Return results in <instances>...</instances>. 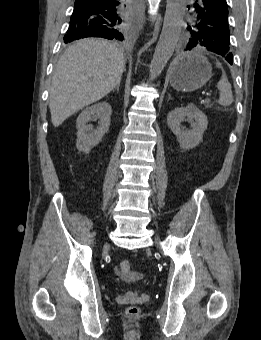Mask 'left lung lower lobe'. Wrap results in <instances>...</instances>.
Here are the masks:
<instances>
[{
	"label": "left lung lower lobe",
	"instance_id": "1",
	"mask_svg": "<svg viewBox=\"0 0 261 340\" xmlns=\"http://www.w3.org/2000/svg\"><path fill=\"white\" fill-rule=\"evenodd\" d=\"M192 7L196 12L194 21L197 24L204 23L207 21V18H215V20H225L228 18V7L226 0H195L192 2ZM196 43V40L191 38V40L186 44L185 49L191 50L195 47ZM226 60L231 65L233 64L232 53L229 54Z\"/></svg>",
	"mask_w": 261,
	"mask_h": 340
}]
</instances>
